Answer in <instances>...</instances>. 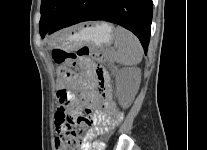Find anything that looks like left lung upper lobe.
Here are the masks:
<instances>
[{
    "mask_svg": "<svg viewBox=\"0 0 207 150\" xmlns=\"http://www.w3.org/2000/svg\"><path fill=\"white\" fill-rule=\"evenodd\" d=\"M75 0H42L40 34L47 33L64 15Z\"/></svg>",
    "mask_w": 207,
    "mask_h": 150,
    "instance_id": "left-lung-upper-lobe-1",
    "label": "left lung upper lobe"
}]
</instances>
